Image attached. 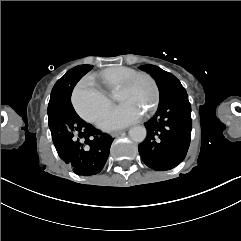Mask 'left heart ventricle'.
I'll return each mask as SVG.
<instances>
[{
    "label": "left heart ventricle",
    "instance_id": "obj_1",
    "mask_svg": "<svg viewBox=\"0 0 241 241\" xmlns=\"http://www.w3.org/2000/svg\"><path fill=\"white\" fill-rule=\"evenodd\" d=\"M139 79L135 77L131 80L132 84L123 93V104L132 110L146 111L155 103L156 84L149 75L143 76V80Z\"/></svg>",
    "mask_w": 241,
    "mask_h": 241
}]
</instances>
